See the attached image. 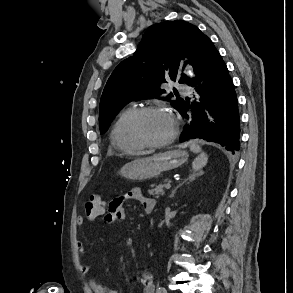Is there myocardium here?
I'll list each match as a JSON object with an SVG mask.
<instances>
[{"label":"myocardium","instance_id":"myocardium-1","mask_svg":"<svg viewBox=\"0 0 293 293\" xmlns=\"http://www.w3.org/2000/svg\"><path fill=\"white\" fill-rule=\"evenodd\" d=\"M160 111L165 112L170 116L172 123H173V130H172L170 136L162 141H158V142L148 141L146 138H144V136L142 135V133L140 131V123H141L142 119L144 118V116H146L147 114H150L153 112H160ZM178 127H179L178 120L169 109H167L164 106H160V105H150V106L141 107L135 111V113L133 114V116L130 120V123H129V133H130L131 138L134 141L141 144L142 146H144V148L145 147H147V148H161V147H164V146L170 144L176 138L177 133H178Z\"/></svg>","mask_w":293,"mask_h":293}]
</instances>
